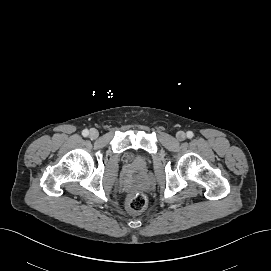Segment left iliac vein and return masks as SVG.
I'll return each mask as SVG.
<instances>
[{
    "label": "left iliac vein",
    "mask_w": 271,
    "mask_h": 271,
    "mask_svg": "<svg viewBox=\"0 0 271 271\" xmlns=\"http://www.w3.org/2000/svg\"><path fill=\"white\" fill-rule=\"evenodd\" d=\"M176 138L178 141H183L186 138V134L183 131H178L176 133Z\"/></svg>",
    "instance_id": "obj_1"
}]
</instances>
